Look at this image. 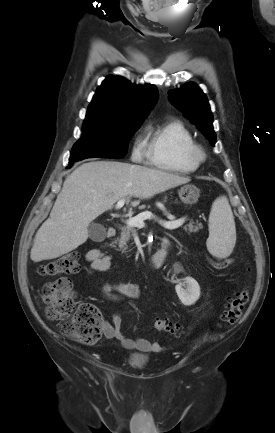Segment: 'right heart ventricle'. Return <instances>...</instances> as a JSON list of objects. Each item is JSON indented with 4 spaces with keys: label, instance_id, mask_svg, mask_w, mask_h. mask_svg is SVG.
I'll use <instances>...</instances> for the list:
<instances>
[{
    "label": "right heart ventricle",
    "instance_id": "1",
    "mask_svg": "<svg viewBox=\"0 0 275 433\" xmlns=\"http://www.w3.org/2000/svg\"><path fill=\"white\" fill-rule=\"evenodd\" d=\"M195 145L191 131L176 119L150 126L145 139L148 163L178 173H193L198 169L199 163L190 157Z\"/></svg>",
    "mask_w": 275,
    "mask_h": 433
}]
</instances>
